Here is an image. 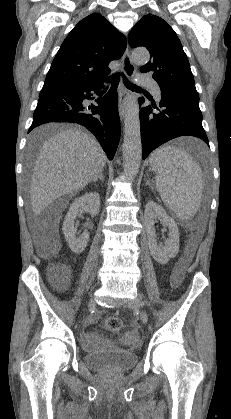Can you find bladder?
I'll list each match as a JSON object with an SVG mask.
<instances>
[{"label": "bladder", "instance_id": "obj_1", "mask_svg": "<svg viewBox=\"0 0 231 419\" xmlns=\"http://www.w3.org/2000/svg\"><path fill=\"white\" fill-rule=\"evenodd\" d=\"M85 366L92 370L123 372L138 362V355L124 349H112L87 353L83 357Z\"/></svg>", "mask_w": 231, "mask_h": 419}]
</instances>
